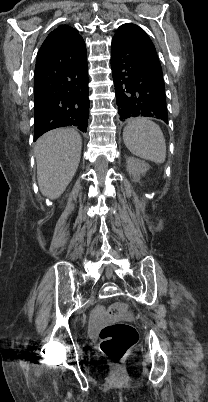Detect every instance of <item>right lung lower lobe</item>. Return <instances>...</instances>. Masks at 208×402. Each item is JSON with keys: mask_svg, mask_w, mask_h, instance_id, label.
Returning a JSON list of instances; mask_svg holds the SVG:
<instances>
[{"mask_svg": "<svg viewBox=\"0 0 208 402\" xmlns=\"http://www.w3.org/2000/svg\"><path fill=\"white\" fill-rule=\"evenodd\" d=\"M34 78V141L58 127L73 125L86 132L90 104L83 38L39 52Z\"/></svg>", "mask_w": 208, "mask_h": 402, "instance_id": "98d812e1", "label": "right lung lower lobe"}]
</instances>
